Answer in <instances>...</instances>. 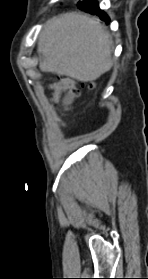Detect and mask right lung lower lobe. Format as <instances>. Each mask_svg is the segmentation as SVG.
Listing matches in <instances>:
<instances>
[{
	"label": "right lung lower lobe",
	"mask_w": 148,
	"mask_h": 279,
	"mask_svg": "<svg viewBox=\"0 0 148 279\" xmlns=\"http://www.w3.org/2000/svg\"><path fill=\"white\" fill-rule=\"evenodd\" d=\"M78 8L85 12L96 14L97 16L100 17L101 20H104L106 22L110 21L109 17L102 10H100L97 1L84 0L83 3L81 2L78 3Z\"/></svg>",
	"instance_id": "right-lung-lower-lobe-1"
}]
</instances>
